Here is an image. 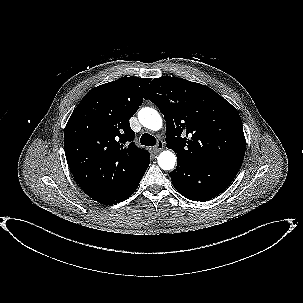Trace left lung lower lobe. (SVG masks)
Returning <instances> with one entry per match:
<instances>
[{
    "label": "left lung lower lobe",
    "instance_id": "0a47b994",
    "mask_svg": "<svg viewBox=\"0 0 303 303\" xmlns=\"http://www.w3.org/2000/svg\"><path fill=\"white\" fill-rule=\"evenodd\" d=\"M169 173L176 190L189 200L208 201L222 193L236 177L240 167L228 163H194L177 158Z\"/></svg>",
    "mask_w": 303,
    "mask_h": 303
}]
</instances>
